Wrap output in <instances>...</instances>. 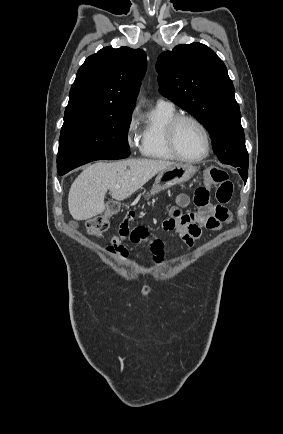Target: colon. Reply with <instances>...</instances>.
Instances as JSON below:
<instances>
[{
	"instance_id": "obj_1",
	"label": "colon",
	"mask_w": 283,
	"mask_h": 434,
	"mask_svg": "<svg viewBox=\"0 0 283 434\" xmlns=\"http://www.w3.org/2000/svg\"><path fill=\"white\" fill-rule=\"evenodd\" d=\"M206 180L216 186L215 197L219 204L229 203L233 195V183L226 170L220 167H210L206 171ZM117 204H112L107 213L95 216L87 221V230L93 236H101L110 225V217L117 211Z\"/></svg>"
}]
</instances>
